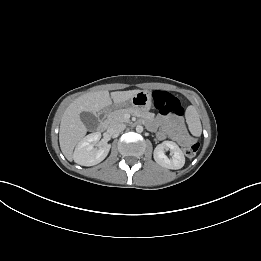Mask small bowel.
Here are the masks:
<instances>
[{"label":"small bowel","mask_w":261,"mask_h":261,"mask_svg":"<svg viewBox=\"0 0 261 261\" xmlns=\"http://www.w3.org/2000/svg\"><path fill=\"white\" fill-rule=\"evenodd\" d=\"M148 124L150 127H153L155 124L161 125V129L157 134V137L161 140L170 138L181 146L188 145L193 141L184 123L180 120L163 117L157 119L155 122L149 121Z\"/></svg>","instance_id":"c3829d8e"}]
</instances>
